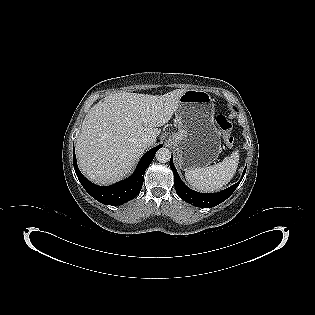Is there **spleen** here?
I'll list each match as a JSON object with an SVG mask.
<instances>
[{"label": "spleen", "mask_w": 315, "mask_h": 315, "mask_svg": "<svg viewBox=\"0 0 315 315\" xmlns=\"http://www.w3.org/2000/svg\"><path fill=\"white\" fill-rule=\"evenodd\" d=\"M239 152L234 151L218 164L188 169L185 172L187 182L195 189L203 192H215L228 184L236 173Z\"/></svg>", "instance_id": "spleen-1"}]
</instances>
